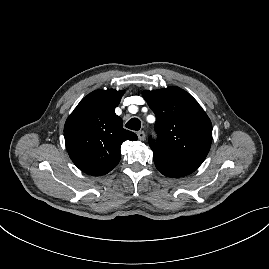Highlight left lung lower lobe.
Segmentation results:
<instances>
[{
	"instance_id": "left-lung-lower-lobe-1",
	"label": "left lung lower lobe",
	"mask_w": 269,
	"mask_h": 269,
	"mask_svg": "<svg viewBox=\"0 0 269 269\" xmlns=\"http://www.w3.org/2000/svg\"><path fill=\"white\" fill-rule=\"evenodd\" d=\"M157 169L167 177L178 178L194 172L201 163L190 161H168L154 156Z\"/></svg>"
}]
</instances>
